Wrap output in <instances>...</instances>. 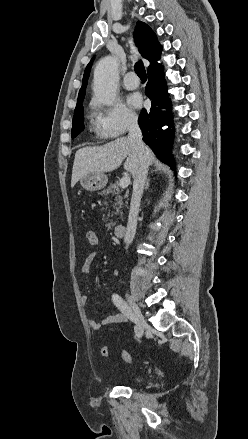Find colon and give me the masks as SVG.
I'll return each mask as SVG.
<instances>
[{
  "instance_id": "1",
  "label": "colon",
  "mask_w": 248,
  "mask_h": 439,
  "mask_svg": "<svg viewBox=\"0 0 248 439\" xmlns=\"http://www.w3.org/2000/svg\"><path fill=\"white\" fill-rule=\"evenodd\" d=\"M86 240H87V242H88V244L90 245V246H97V245H99V243H100V237H99V234L97 233V232H95V231H88L87 233H86ZM101 355L104 357V358H107V357H109V349H108V347L107 346H103L102 348H101ZM121 358L125 361V362H128V363H131L132 361H133V357H132V355L128 352V351H125V350H122L121 351Z\"/></svg>"
}]
</instances>
